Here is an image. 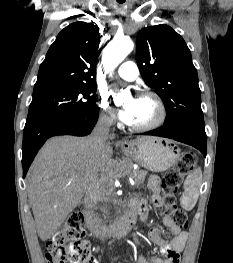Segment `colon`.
Masks as SVG:
<instances>
[{
	"instance_id": "1",
	"label": "colon",
	"mask_w": 233,
	"mask_h": 263,
	"mask_svg": "<svg viewBox=\"0 0 233 263\" xmlns=\"http://www.w3.org/2000/svg\"><path fill=\"white\" fill-rule=\"evenodd\" d=\"M196 155L184 152L176 165L162 178L165 214L180 228H187V213L178 207L176 193L183 178L193 169ZM81 212L71 213L46 244L47 263H91L90 243L84 237Z\"/></svg>"
}]
</instances>
